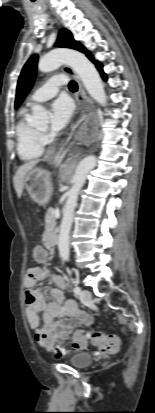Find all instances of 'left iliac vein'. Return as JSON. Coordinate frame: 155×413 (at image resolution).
<instances>
[{"instance_id": "4c4485c4", "label": "left iliac vein", "mask_w": 155, "mask_h": 413, "mask_svg": "<svg viewBox=\"0 0 155 413\" xmlns=\"http://www.w3.org/2000/svg\"><path fill=\"white\" fill-rule=\"evenodd\" d=\"M79 297H80L81 302L86 303V302H89L91 300L92 295H91V292L89 290L84 289V290L81 291Z\"/></svg>"}]
</instances>
